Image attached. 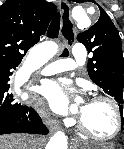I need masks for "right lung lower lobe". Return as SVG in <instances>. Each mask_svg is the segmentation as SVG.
Returning a JSON list of instances; mask_svg holds the SVG:
<instances>
[{"instance_id": "obj_1", "label": "right lung lower lobe", "mask_w": 124, "mask_h": 149, "mask_svg": "<svg viewBox=\"0 0 124 149\" xmlns=\"http://www.w3.org/2000/svg\"><path fill=\"white\" fill-rule=\"evenodd\" d=\"M18 64H0V135L10 133L48 134L38 113L15 101L8 81Z\"/></svg>"}]
</instances>
